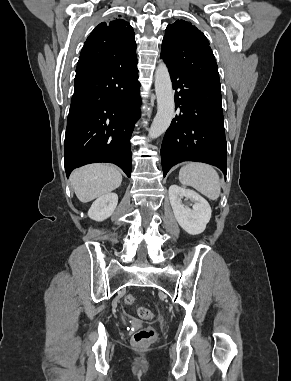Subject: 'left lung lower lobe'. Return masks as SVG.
Here are the masks:
<instances>
[{
	"label": "left lung lower lobe",
	"mask_w": 291,
	"mask_h": 381,
	"mask_svg": "<svg viewBox=\"0 0 291 381\" xmlns=\"http://www.w3.org/2000/svg\"><path fill=\"white\" fill-rule=\"evenodd\" d=\"M173 89L175 109L161 146L163 174L183 161H197L220 168L225 177L227 148L220 84L195 79L166 62Z\"/></svg>",
	"instance_id": "1"
}]
</instances>
